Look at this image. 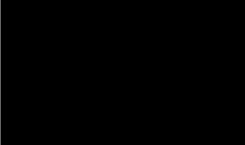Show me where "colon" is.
<instances>
[{"label":"colon","instance_id":"5ec220e1","mask_svg":"<svg viewBox=\"0 0 245 145\" xmlns=\"http://www.w3.org/2000/svg\"><path fill=\"white\" fill-rule=\"evenodd\" d=\"M201 71L203 74V77L201 78L202 80H206L209 78L210 75V65L207 62L202 63L201 65Z\"/></svg>","mask_w":245,"mask_h":145}]
</instances>
